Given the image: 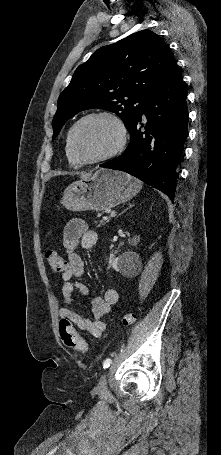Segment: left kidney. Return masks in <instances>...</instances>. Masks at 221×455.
I'll return each mask as SVG.
<instances>
[{
    "mask_svg": "<svg viewBox=\"0 0 221 455\" xmlns=\"http://www.w3.org/2000/svg\"><path fill=\"white\" fill-rule=\"evenodd\" d=\"M139 241V236L137 238ZM139 261V256L136 252H124L118 257L109 258V266L108 268L112 267L114 270L119 272H127L133 269Z\"/></svg>",
    "mask_w": 221,
    "mask_h": 455,
    "instance_id": "5707ae66",
    "label": "left kidney"
}]
</instances>
